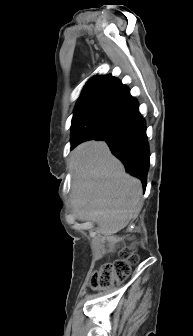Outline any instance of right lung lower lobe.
Wrapping results in <instances>:
<instances>
[{"instance_id":"1","label":"right lung lower lobe","mask_w":193,"mask_h":336,"mask_svg":"<svg viewBox=\"0 0 193 336\" xmlns=\"http://www.w3.org/2000/svg\"><path fill=\"white\" fill-rule=\"evenodd\" d=\"M93 139L104 140L112 153L124 163L126 171L141 179L143 187H146L150 156L146 124L138 111V102L131 97L129 90L114 107L102 131ZM79 143H72V148Z\"/></svg>"}]
</instances>
